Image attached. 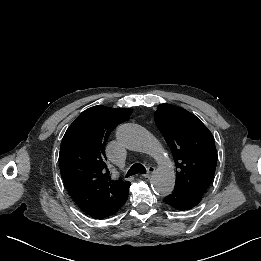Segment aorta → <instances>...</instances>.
<instances>
[{"instance_id":"1","label":"aorta","mask_w":261,"mask_h":261,"mask_svg":"<svg viewBox=\"0 0 261 261\" xmlns=\"http://www.w3.org/2000/svg\"><path fill=\"white\" fill-rule=\"evenodd\" d=\"M116 138L121 146L154 157L160 166L151 177V186L160 196L171 194L175 186V173L159 141L142 126L131 123L119 126Z\"/></svg>"}]
</instances>
